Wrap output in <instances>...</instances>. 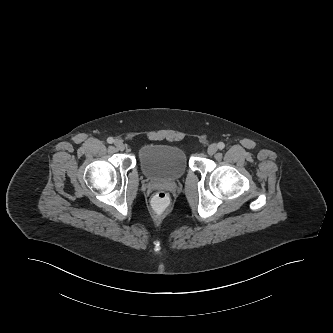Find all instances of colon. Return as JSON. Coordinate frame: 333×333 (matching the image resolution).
I'll use <instances>...</instances> for the list:
<instances>
[{"label":"colon","instance_id":"5ec220e1","mask_svg":"<svg viewBox=\"0 0 333 333\" xmlns=\"http://www.w3.org/2000/svg\"><path fill=\"white\" fill-rule=\"evenodd\" d=\"M169 194L163 190L157 191L151 198L150 207L152 213L157 217H163L168 212Z\"/></svg>","mask_w":333,"mask_h":333}]
</instances>
